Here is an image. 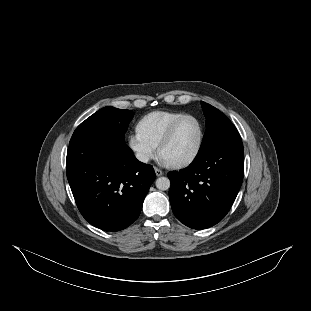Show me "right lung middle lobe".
<instances>
[{"instance_id":"obj_1","label":"right lung middle lobe","mask_w":311,"mask_h":311,"mask_svg":"<svg viewBox=\"0 0 311 311\" xmlns=\"http://www.w3.org/2000/svg\"><path fill=\"white\" fill-rule=\"evenodd\" d=\"M133 116L131 110L104 107L83 121L74 131L70 141L94 133L108 134L124 140Z\"/></svg>"}]
</instances>
